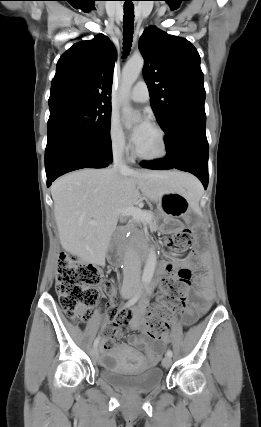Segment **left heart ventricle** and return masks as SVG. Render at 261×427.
Here are the masks:
<instances>
[{
	"label": "left heart ventricle",
	"instance_id": "1",
	"mask_svg": "<svg viewBox=\"0 0 261 427\" xmlns=\"http://www.w3.org/2000/svg\"><path fill=\"white\" fill-rule=\"evenodd\" d=\"M139 153L143 155H156L161 150V143L158 133L151 128L144 136L139 145L136 146Z\"/></svg>",
	"mask_w": 261,
	"mask_h": 427
}]
</instances>
